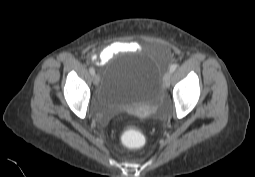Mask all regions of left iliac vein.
<instances>
[{
	"instance_id": "obj_1",
	"label": "left iliac vein",
	"mask_w": 255,
	"mask_h": 177,
	"mask_svg": "<svg viewBox=\"0 0 255 177\" xmlns=\"http://www.w3.org/2000/svg\"><path fill=\"white\" fill-rule=\"evenodd\" d=\"M171 78H172V73L169 71L164 75L163 78V85L164 88H168L170 86V82H171Z\"/></svg>"
}]
</instances>
